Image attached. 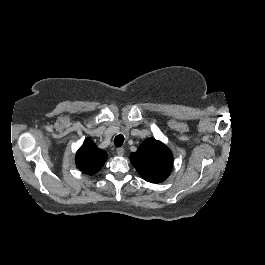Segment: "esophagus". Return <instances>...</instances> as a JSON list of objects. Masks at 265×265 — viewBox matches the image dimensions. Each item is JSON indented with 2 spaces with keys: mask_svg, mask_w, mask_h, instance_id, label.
Wrapping results in <instances>:
<instances>
[{
  "mask_svg": "<svg viewBox=\"0 0 265 265\" xmlns=\"http://www.w3.org/2000/svg\"><path fill=\"white\" fill-rule=\"evenodd\" d=\"M117 155L118 156H123L124 155V148H117L116 149Z\"/></svg>",
  "mask_w": 265,
  "mask_h": 265,
  "instance_id": "esophagus-1",
  "label": "esophagus"
}]
</instances>
